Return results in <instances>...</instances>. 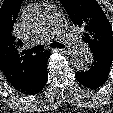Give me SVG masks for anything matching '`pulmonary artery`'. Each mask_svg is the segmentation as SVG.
Listing matches in <instances>:
<instances>
[{"instance_id":"obj_1","label":"pulmonary artery","mask_w":113,"mask_h":113,"mask_svg":"<svg viewBox=\"0 0 113 113\" xmlns=\"http://www.w3.org/2000/svg\"><path fill=\"white\" fill-rule=\"evenodd\" d=\"M46 21L42 29L36 35V42L41 43L45 40L50 39L55 34H62V38L65 43L74 49H83L84 43L81 39L71 31H68L67 28L60 23L59 11L53 5L46 6Z\"/></svg>"}]
</instances>
